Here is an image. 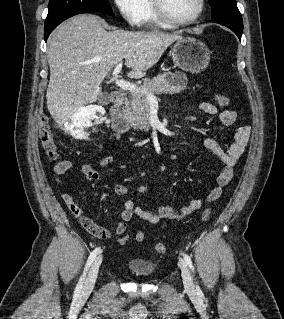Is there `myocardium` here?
I'll return each instance as SVG.
<instances>
[{
    "mask_svg": "<svg viewBox=\"0 0 284 319\" xmlns=\"http://www.w3.org/2000/svg\"><path fill=\"white\" fill-rule=\"evenodd\" d=\"M150 1L154 14L158 18V20H160L162 23L174 26L189 25L196 22L202 17L205 10V0H198V10L194 16L188 19H177L168 13L163 0Z\"/></svg>",
    "mask_w": 284,
    "mask_h": 319,
    "instance_id": "myocardium-1",
    "label": "myocardium"
}]
</instances>
